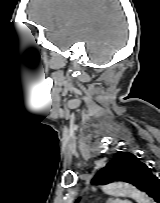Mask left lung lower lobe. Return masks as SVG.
<instances>
[{
    "label": "left lung lower lobe",
    "instance_id": "left-lung-lower-lobe-1",
    "mask_svg": "<svg viewBox=\"0 0 160 203\" xmlns=\"http://www.w3.org/2000/svg\"><path fill=\"white\" fill-rule=\"evenodd\" d=\"M149 196L155 201L156 203H160V179L157 177L155 180L154 185L151 188Z\"/></svg>",
    "mask_w": 160,
    "mask_h": 203
}]
</instances>
